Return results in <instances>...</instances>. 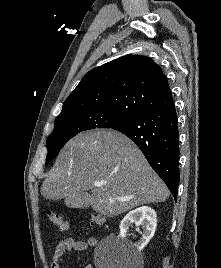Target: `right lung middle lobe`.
I'll return each instance as SVG.
<instances>
[{
    "instance_id": "obj_1",
    "label": "right lung middle lobe",
    "mask_w": 221,
    "mask_h": 268,
    "mask_svg": "<svg viewBox=\"0 0 221 268\" xmlns=\"http://www.w3.org/2000/svg\"><path fill=\"white\" fill-rule=\"evenodd\" d=\"M130 120L128 117L106 109H91L59 114L54 130L48 136L46 163L52 160L72 137L95 128H113Z\"/></svg>"
}]
</instances>
